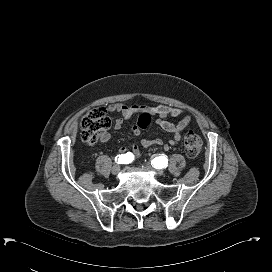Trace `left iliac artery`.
Instances as JSON below:
<instances>
[{"label": "left iliac artery", "mask_w": 272, "mask_h": 272, "mask_svg": "<svg viewBox=\"0 0 272 272\" xmlns=\"http://www.w3.org/2000/svg\"><path fill=\"white\" fill-rule=\"evenodd\" d=\"M151 164L154 168H165L168 166V158L164 155L157 156L151 161Z\"/></svg>", "instance_id": "obj_1"}]
</instances>
